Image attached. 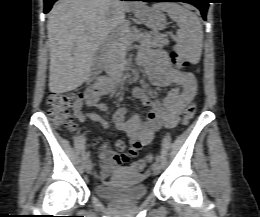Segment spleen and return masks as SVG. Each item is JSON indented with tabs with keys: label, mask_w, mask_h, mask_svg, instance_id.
Masks as SVG:
<instances>
[{
	"label": "spleen",
	"mask_w": 260,
	"mask_h": 217,
	"mask_svg": "<svg viewBox=\"0 0 260 217\" xmlns=\"http://www.w3.org/2000/svg\"><path fill=\"white\" fill-rule=\"evenodd\" d=\"M155 6L167 12L179 26L176 48L180 53L188 58H198L202 50L203 30L197 15L178 4L164 3Z\"/></svg>",
	"instance_id": "1"
}]
</instances>
